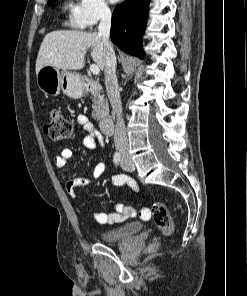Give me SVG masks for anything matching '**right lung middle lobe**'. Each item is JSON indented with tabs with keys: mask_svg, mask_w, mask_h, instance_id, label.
I'll use <instances>...</instances> for the list:
<instances>
[{
	"mask_svg": "<svg viewBox=\"0 0 247 296\" xmlns=\"http://www.w3.org/2000/svg\"><path fill=\"white\" fill-rule=\"evenodd\" d=\"M57 0H49L48 1V4H52V3H54V2H56Z\"/></svg>",
	"mask_w": 247,
	"mask_h": 296,
	"instance_id": "obj_1",
	"label": "right lung middle lobe"
}]
</instances>
